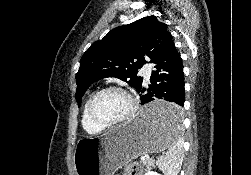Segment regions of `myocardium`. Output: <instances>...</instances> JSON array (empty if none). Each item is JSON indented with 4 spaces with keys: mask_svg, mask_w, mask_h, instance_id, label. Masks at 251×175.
<instances>
[{
    "mask_svg": "<svg viewBox=\"0 0 251 175\" xmlns=\"http://www.w3.org/2000/svg\"><path fill=\"white\" fill-rule=\"evenodd\" d=\"M111 90H118V91L123 92L126 95V97L128 98V101L130 104V109H129L128 113L123 118H121L120 120L115 121V122H107V121L101 119L99 116L96 115L95 110H94L95 103H96L97 99L103 93H105L107 91H111ZM137 110H138V105H137L135 99L133 98V96L130 94V92L127 89H125L124 87L119 86V85H109V86H106V87L101 88L100 90L96 91L93 94V96L91 97V99L88 103V108H87L89 119L94 124H97L105 129L106 128H114V127H117V126H120V125H123V124L129 122L130 120H132L135 117Z\"/></svg>",
    "mask_w": 251,
    "mask_h": 175,
    "instance_id": "obj_1",
    "label": "myocardium"
}]
</instances>
